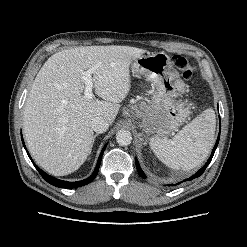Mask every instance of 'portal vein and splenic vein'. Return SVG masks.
<instances>
[{
  "label": "portal vein and splenic vein",
  "mask_w": 247,
  "mask_h": 247,
  "mask_svg": "<svg viewBox=\"0 0 247 247\" xmlns=\"http://www.w3.org/2000/svg\"><path fill=\"white\" fill-rule=\"evenodd\" d=\"M96 67L90 68L87 71L82 73V80L84 82L85 88H84V96L88 99L93 98V81H92V73Z\"/></svg>",
  "instance_id": "obj_1"
}]
</instances>
